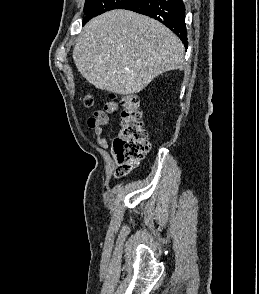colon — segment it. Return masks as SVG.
<instances>
[{
    "mask_svg": "<svg viewBox=\"0 0 259 294\" xmlns=\"http://www.w3.org/2000/svg\"><path fill=\"white\" fill-rule=\"evenodd\" d=\"M120 103L122 106L121 123L113 146L118 164L116 176L119 178L128 175L150 149L139 98L134 94H126L121 96ZM83 104L87 108L92 107L93 96L85 95Z\"/></svg>",
    "mask_w": 259,
    "mask_h": 294,
    "instance_id": "obj_1",
    "label": "colon"
}]
</instances>
